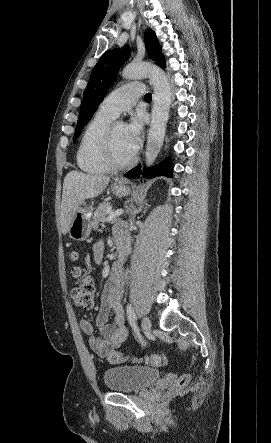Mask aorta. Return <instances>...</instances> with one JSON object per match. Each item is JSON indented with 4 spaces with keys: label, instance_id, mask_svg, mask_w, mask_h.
I'll return each mask as SVG.
<instances>
[{
    "label": "aorta",
    "instance_id": "obj_1",
    "mask_svg": "<svg viewBox=\"0 0 271 443\" xmlns=\"http://www.w3.org/2000/svg\"><path fill=\"white\" fill-rule=\"evenodd\" d=\"M122 78H149L153 88V106L150 130L146 146V166L154 164L164 142L166 126L171 106V84L164 70L154 64H128L122 72Z\"/></svg>",
    "mask_w": 271,
    "mask_h": 443
}]
</instances>
